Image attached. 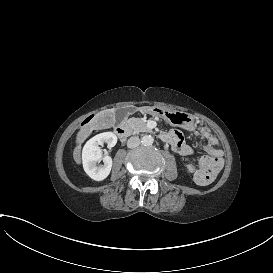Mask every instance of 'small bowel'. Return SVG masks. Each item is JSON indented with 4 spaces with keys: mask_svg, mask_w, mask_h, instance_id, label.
<instances>
[{
    "mask_svg": "<svg viewBox=\"0 0 273 273\" xmlns=\"http://www.w3.org/2000/svg\"><path fill=\"white\" fill-rule=\"evenodd\" d=\"M196 132L199 135L201 141L203 142V149L207 154L211 152L221 154L220 151L215 148V145L217 144V139L212 134L209 128L205 126H198ZM163 135H165L166 138L168 139L167 143L171 144L173 146V149L178 153L191 154L193 152L190 146L182 143L184 141V133L180 129H173L170 132L163 133ZM187 169L190 173H194L195 176L199 171L196 170L195 166L192 164L188 165Z\"/></svg>",
    "mask_w": 273,
    "mask_h": 273,
    "instance_id": "c3829d8e",
    "label": "small bowel"
}]
</instances>
